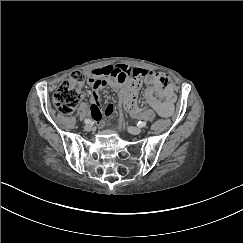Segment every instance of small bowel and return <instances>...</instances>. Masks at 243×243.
<instances>
[{
    "label": "small bowel",
    "mask_w": 243,
    "mask_h": 243,
    "mask_svg": "<svg viewBox=\"0 0 243 243\" xmlns=\"http://www.w3.org/2000/svg\"><path fill=\"white\" fill-rule=\"evenodd\" d=\"M134 71L144 72V79L148 84L145 96L150 107L162 117L172 115L176 96L173 85L167 75L143 69L132 71L126 65H110L87 73V82L93 89L90 99V112L94 120L102 122L105 117L112 115L115 110L112 104H108L104 109L101 108L97 91L106 85L118 90Z\"/></svg>",
    "instance_id": "1"
}]
</instances>
